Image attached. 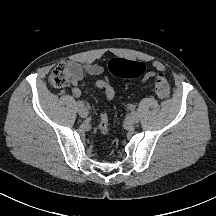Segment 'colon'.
I'll list each match as a JSON object with an SVG mask.
<instances>
[{"label": "colon", "instance_id": "obj_1", "mask_svg": "<svg viewBox=\"0 0 216 216\" xmlns=\"http://www.w3.org/2000/svg\"><path fill=\"white\" fill-rule=\"evenodd\" d=\"M108 68L112 74L124 78L141 77L146 71V65L143 62L129 61L122 58L112 59L108 64ZM69 81L68 67L64 63L58 65L49 76L50 84L56 88L66 87ZM155 92L160 99H166L170 95L169 83L162 74L156 78ZM98 130L103 137L110 135V119L106 112L101 113L99 116Z\"/></svg>", "mask_w": 216, "mask_h": 216}]
</instances>
